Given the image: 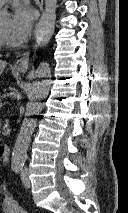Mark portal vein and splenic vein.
Returning a JSON list of instances; mask_svg holds the SVG:
<instances>
[{"label":"portal vein and splenic vein","instance_id":"obj_1","mask_svg":"<svg viewBox=\"0 0 128 213\" xmlns=\"http://www.w3.org/2000/svg\"><path fill=\"white\" fill-rule=\"evenodd\" d=\"M3 105H2V103L0 102V108L2 107Z\"/></svg>","mask_w":128,"mask_h":213}]
</instances>
